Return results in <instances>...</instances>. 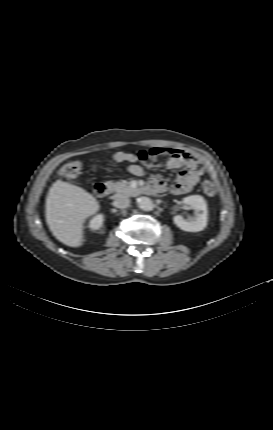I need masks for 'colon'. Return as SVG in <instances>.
I'll use <instances>...</instances> for the list:
<instances>
[{"label": "colon", "mask_w": 273, "mask_h": 430, "mask_svg": "<svg viewBox=\"0 0 273 430\" xmlns=\"http://www.w3.org/2000/svg\"><path fill=\"white\" fill-rule=\"evenodd\" d=\"M81 171V163L79 161H71L65 164L61 169V176L65 179L72 180L78 176ZM204 193L208 196H213L216 193V186L213 182L205 180L202 184Z\"/></svg>", "instance_id": "obj_1"}]
</instances>
